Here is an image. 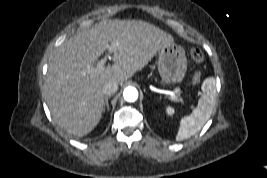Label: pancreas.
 <instances>
[{"label":"pancreas","instance_id":"obj_1","mask_svg":"<svg viewBox=\"0 0 267 178\" xmlns=\"http://www.w3.org/2000/svg\"><path fill=\"white\" fill-rule=\"evenodd\" d=\"M175 101H180L182 102V99L180 98L179 94L177 93L175 98H174Z\"/></svg>","mask_w":267,"mask_h":178}]
</instances>
